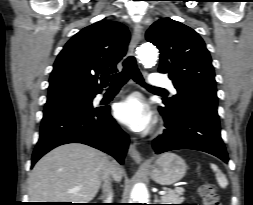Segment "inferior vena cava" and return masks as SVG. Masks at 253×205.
Here are the masks:
<instances>
[{"label": "inferior vena cava", "mask_w": 253, "mask_h": 205, "mask_svg": "<svg viewBox=\"0 0 253 205\" xmlns=\"http://www.w3.org/2000/svg\"><path fill=\"white\" fill-rule=\"evenodd\" d=\"M110 175H111V168L109 167L105 174L103 175V191L106 193V198L104 203H111L112 201V193L110 190Z\"/></svg>", "instance_id": "obj_1"}]
</instances>
